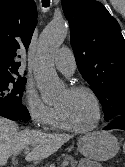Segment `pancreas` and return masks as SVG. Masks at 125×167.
I'll return each mask as SVG.
<instances>
[{"instance_id":"obj_1","label":"pancreas","mask_w":125,"mask_h":167,"mask_svg":"<svg viewBox=\"0 0 125 167\" xmlns=\"http://www.w3.org/2000/svg\"><path fill=\"white\" fill-rule=\"evenodd\" d=\"M64 160H65V161H68L71 167H75L76 164H77V162L73 159L72 156H68V155H67V156L64 157ZM45 167H46V166H45Z\"/></svg>"}]
</instances>
